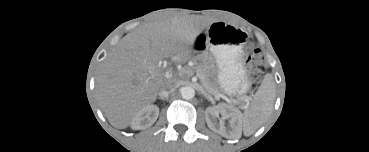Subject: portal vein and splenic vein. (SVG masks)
<instances>
[{
    "label": "portal vein and splenic vein",
    "instance_id": "18ae733b",
    "mask_svg": "<svg viewBox=\"0 0 369 152\" xmlns=\"http://www.w3.org/2000/svg\"><path fill=\"white\" fill-rule=\"evenodd\" d=\"M211 94L214 95L215 97H221L224 100H226L227 102H230L229 98H227L226 96H224L222 94H216V93H213V92H211Z\"/></svg>",
    "mask_w": 369,
    "mask_h": 152
}]
</instances>
